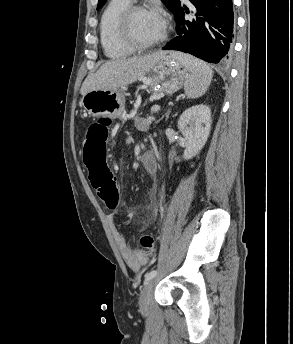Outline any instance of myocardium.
<instances>
[{
  "mask_svg": "<svg viewBox=\"0 0 293 344\" xmlns=\"http://www.w3.org/2000/svg\"><path fill=\"white\" fill-rule=\"evenodd\" d=\"M154 12L152 8L145 4H131L122 11L117 20V32L120 40L134 50L144 51L164 43L167 39V30L164 28L162 36L151 42H142L136 39L131 31L133 17L139 12Z\"/></svg>",
  "mask_w": 293,
  "mask_h": 344,
  "instance_id": "f54148a6",
  "label": "myocardium"
}]
</instances>
